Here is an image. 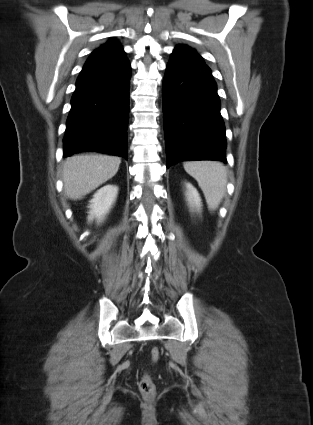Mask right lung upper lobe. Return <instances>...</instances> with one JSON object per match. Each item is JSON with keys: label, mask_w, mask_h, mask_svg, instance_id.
Wrapping results in <instances>:
<instances>
[{"label": "right lung upper lobe", "mask_w": 313, "mask_h": 425, "mask_svg": "<svg viewBox=\"0 0 313 425\" xmlns=\"http://www.w3.org/2000/svg\"><path fill=\"white\" fill-rule=\"evenodd\" d=\"M90 57L125 58V52L119 42L115 39L107 41L94 50Z\"/></svg>", "instance_id": "cb5924a9"}]
</instances>
